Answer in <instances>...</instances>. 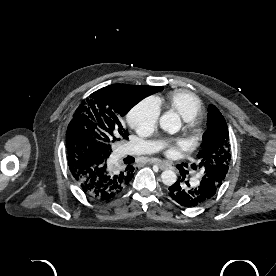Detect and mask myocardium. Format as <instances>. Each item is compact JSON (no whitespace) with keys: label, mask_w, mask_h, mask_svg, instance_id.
<instances>
[{"label":"myocardium","mask_w":276,"mask_h":276,"mask_svg":"<svg viewBox=\"0 0 276 276\" xmlns=\"http://www.w3.org/2000/svg\"><path fill=\"white\" fill-rule=\"evenodd\" d=\"M185 130H186L187 134L189 135V137L191 139H194L200 131L199 123H198L197 119L193 118V119L188 120Z\"/></svg>","instance_id":"f54148a6"}]
</instances>
